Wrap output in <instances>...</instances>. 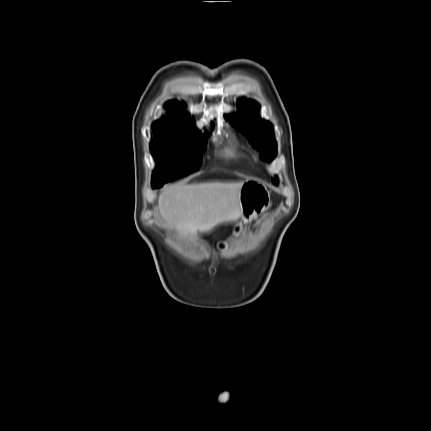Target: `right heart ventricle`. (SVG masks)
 <instances>
[{"label":"right heart ventricle","instance_id":"right-heart-ventricle-1","mask_svg":"<svg viewBox=\"0 0 431 431\" xmlns=\"http://www.w3.org/2000/svg\"><path fill=\"white\" fill-rule=\"evenodd\" d=\"M225 156L228 158H237L241 156V152L235 147H230L225 150Z\"/></svg>","mask_w":431,"mask_h":431}]
</instances>
